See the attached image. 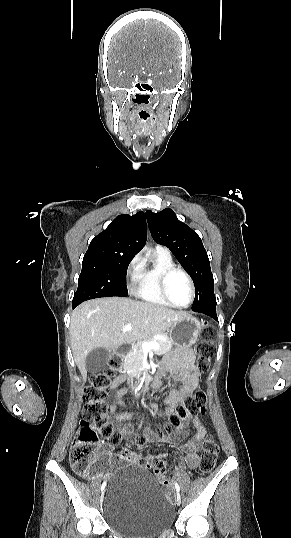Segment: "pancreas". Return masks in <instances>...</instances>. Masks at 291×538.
Listing matches in <instances>:
<instances>
[{"label":"pancreas","mask_w":291,"mask_h":538,"mask_svg":"<svg viewBox=\"0 0 291 538\" xmlns=\"http://www.w3.org/2000/svg\"><path fill=\"white\" fill-rule=\"evenodd\" d=\"M166 341H162L158 338H149L143 341H138L132 345V350L124 357V364L127 369H130L133 372H140L142 370V361L144 358V350L142 344L144 342H157L159 348L154 350V353L157 355H163L171 350L173 342L168 338L167 335H162Z\"/></svg>","instance_id":"1"}]
</instances>
